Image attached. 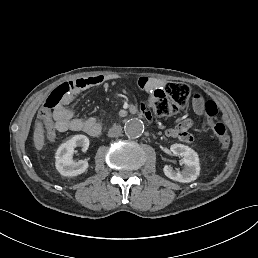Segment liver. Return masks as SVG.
I'll use <instances>...</instances> for the list:
<instances>
[{"label": "liver", "mask_w": 258, "mask_h": 258, "mask_svg": "<svg viewBox=\"0 0 258 258\" xmlns=\"http://www.w3.org/2000/svg\"><path fill=\"white\" fill-rule=\"evenodd\" d=\"M36 129L34 132V142L37 149H41L44 144V138H43V128L41 126V123L37 120L35 122Z\"/></svg>", "instance_id": "6515ba94"}]
</instances>
